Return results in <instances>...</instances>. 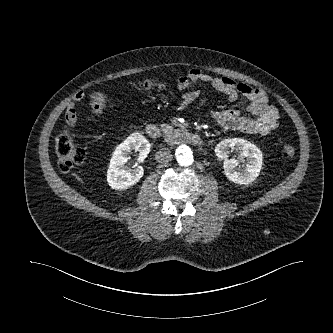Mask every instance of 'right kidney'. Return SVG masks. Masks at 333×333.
Wrapping results in <instances>:
<instances>
[{
	"mask_svg": "<svg viewBox=\"0 0 333 333\" xmlns=\"http://www.w3.org/2000/svg\"><path fill=\"white\" fill-rule=\"evenodd\" d=\"M150 143L141 135L127 138L113 152L107 170V182L112 189L124 190L132 187L143 177L144 169L137 165L131 168L126 165L131 150L139 152L138 161L143 162L150 152Z\"/></svg>",
	"mask_w": 333,
	"mask_h": 333,
	"instance_id": "ca27d5eb",
	"label": "right kidney"
}]
</instances>
